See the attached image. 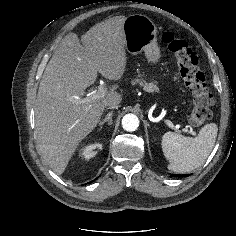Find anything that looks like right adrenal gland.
Listing matches in <instances>:
<instances>
[{
  "instance_id": "2a0ac1e0",
  "label": "right adrenal gland",
  "mask_w": 236,
  "mask_h": 236,
  "mask_svg": "<svg viewBox=\"0 0 236 236\" xmlns=\"http://www.w3.org/2000/svg\"><path fill=\"white\" fill-rule=\"evenodd\" d=\"M112 115H113V112H109L105 118L99 123V126L102 127V125L106 122H108L109 125L112 124Z\"/></svg>"
}]
</instances>
